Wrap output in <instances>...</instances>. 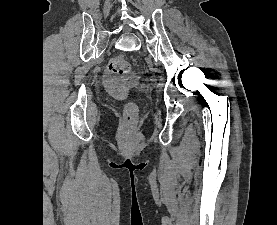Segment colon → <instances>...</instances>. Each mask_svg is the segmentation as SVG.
I'll return each instance as SVG.
<instances>
[{"mask_svg":"<svg viewBox=\"0 0 277 225\" xmlns=\"http://www.w3.org/2000/svg\"><path fill=\"white\" fill-rule=\"evenodd\" d=\"M108 69L115 74L127 75L130 79L135 78V73L131 69L127 57L123 54L113 56L108 63ZM123 115L127 125L132 127L138 115L137 106L132 102L127 103L124 106Z\"/></svg>","mask_w":277,"mask_h":225,"instance_id":"colon-1","label":"colon"}]
</instances>
